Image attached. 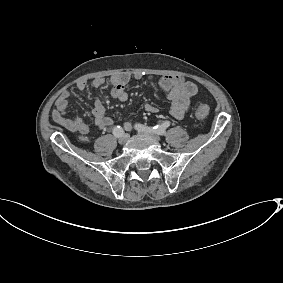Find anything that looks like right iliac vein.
I'll return each mask as SVG.
<instances>
[{
  "instance_id": "right-iliac-vein-1",
  "label": "right iliac vein",
  "mask_w": 283,
  "mask_h": 283,
  "mask_svg": "<svg viewBox=\"0 0 283 283\" xmlns=\"http://www.w3.org/2000/svg\"><path fill=\"white\" fill-rule=\"evenodd\" d=\"M128 137V134H123L122 136H120L118 139L119 144H125L128 140Z\"/></svg>"
}]
</instances>
